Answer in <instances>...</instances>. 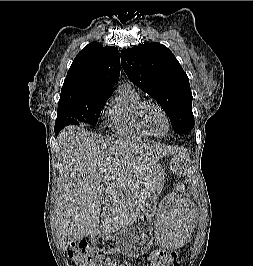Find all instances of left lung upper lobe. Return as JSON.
<instances>
[{
    "label": "left lung upper lobe",
    "instance_id": "left-lung-upper-lobe-1",
    "mask_svg": "<svg viewBox=\"0 0 253 266\" xmlns=\"http://www.w3.org/2000/svg\"><path fill=\"white\" fill-rule=\"evenodd\" d=\"M128 78L160 103L175 132L194 127L189 79L172 52L159 43H146L121 51Z\"/></svg>",
    "mask_w": 253,
    "mask_h": 266
}]
</instances>
